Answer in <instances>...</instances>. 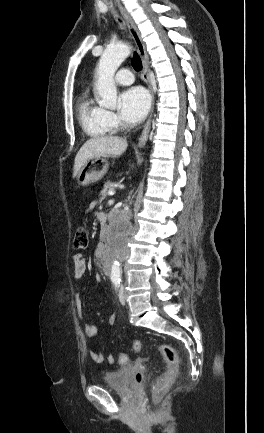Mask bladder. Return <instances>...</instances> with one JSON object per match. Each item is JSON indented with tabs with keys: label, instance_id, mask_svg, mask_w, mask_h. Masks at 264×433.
<instances>
[{
	"label": "bladder",
	"instance_id": "obj_1",
	"mask_svg": "<svg viewBox=\"0 0 264 433\" xmlns=\"http://www.w3.org/2000/svg\"><path fill=\"white\" fill-rule=\"evenodd\" d=\"M130 370L119 369L105 373L102 383L103 386L121 394H126L130 390L129 384Z\"/></svg>",
	"mask_w": 264,
	"mask_h": 433
}]
</instances>
